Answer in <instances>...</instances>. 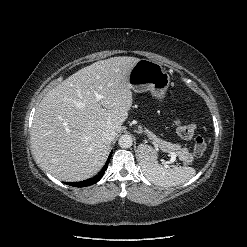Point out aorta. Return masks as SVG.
<instances>
[{
  "mask_svg": "<svg viewBox=\"0 0 247 247\" xmlns=\"http://www.w3.org/2000/svg\"><path fill=\"white\" fill-rule=\"evenodd\" d=\"M118 144L121 148H130L133 144V139L129 135H122L119 138Z\"/></svg>",
  "mask_w": 247,
  "mask_h": 247,
  "instance_id": "obj_1",
  "label": "aorta"
}]
</instances>
